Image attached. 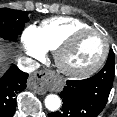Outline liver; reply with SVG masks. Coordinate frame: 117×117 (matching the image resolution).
I'll list each match as a JSON object with an SVG mask.
<instances>
[{"instance_id": "liver-1", "label": "liver", "mask_w": 117, "mask_h": 117, "mask_svg": "<svg viewBox=\"0 0 117 117\" xmlns=\"http://www.w3.org/2000/svg\"><path fill=\"white\" fill-rule=\"evenodd\" d=\"M8 58V50L0 45V68H2L7 61Z\"/></svg>"}]
</instances>
